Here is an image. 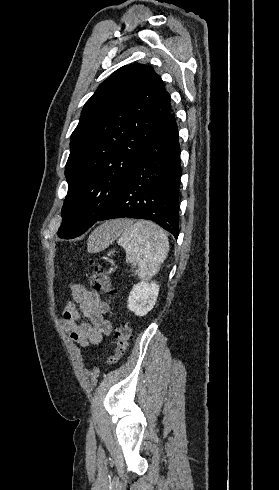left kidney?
<instances>
[{
	"label": "left kidney",
	"mask_w": 279,
	"mask_h": 490,
	"mask_svg": "<svg viewBox=\"0 0 279 490\" xmlns=\"http://www.w3.org/2000/svg\"><path fill=\"white\" fill-rule=\"evenodd\" d=\"M159 288L156 282H150V284L139 282L133 286L127 300L128 310L134 312L135 316H146L157 302Z\"/></svg>",
	"instance_id": "obj_1"
}]
</instances>
